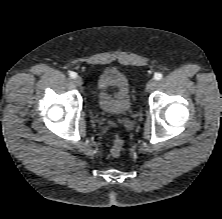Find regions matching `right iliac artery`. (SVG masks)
<instances>
[{
	"mask_svg": "<svg viewBox=\"0 0 222 219\" xmlns=\"http://www.w3.org/2000/svg\"><path fill=\"white\" fill-rule=\"evenodd\" d=\"M69 76L74 79L76 78L77 74L75 72H70Z\"/></svg>",
	"mask_w": 222,
	"mask_h": 219,
	"instance_id": "1",
	"label": "right iliac artery"
}]
</instances>
